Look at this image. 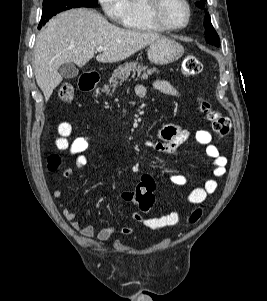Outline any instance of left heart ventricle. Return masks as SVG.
<instances>
[{
	"mask_svg": "<svg viewBox=\"0 0 267 301\" xmlns=\"http://www.w3.org/2000/svg\"><path fill=\"white\" fill-rule=\"evenodd\" d=\"M165 19L173 25H182L187 17V12L181 0H165L162 9Z\"/></svg>",
	"mask_w": 267,
	"mask_h": 301,
	"instance_id": "obj_1",
	"label": "left heart ventricle"
}]
</instances>
